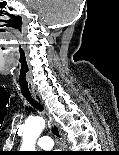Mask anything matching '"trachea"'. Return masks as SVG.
<instances>
[{"instance_id": "1", "label": "trachea", "mask_w": 119, "mask_h": 155, "mask_svg": "<svg viewBox=\"0 0 119 155\" xmlns=\"http://www.w3.org/2000/svg\"><path fill=\"white\" fill-rule=\"evenodd\" d=\"M20 90H22V96L26 98V100L37 110L42 111L43 106L34 99V97L31 95V90H29V87H20ZM52 133L56 135L57 137H60L59 131L57 127H52Z\"/></svg>"}]
</instances>
